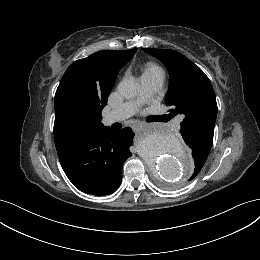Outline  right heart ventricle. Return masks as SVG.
Here are the masks:
<instances>
[{
	"label": "right heart ventricle",
	"instance_id": "obj_1",
	"mask_svg": "<svg viewBox=\"0 0 260 260\" xmlns=\"http://www.w3.org/2000/svg\"><path fill=\"white\" fill-rule=\"evenodd\" d=\"M157 72H161L160 67L154 63H148L145 65V67L143 69L142 78H144L145 76H148L150 74L157 73Z\"/></svg>",
	"mask_w": 260,
	"mask_h": 260
}]
</instances>
